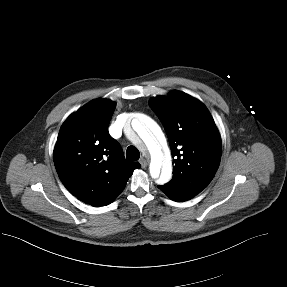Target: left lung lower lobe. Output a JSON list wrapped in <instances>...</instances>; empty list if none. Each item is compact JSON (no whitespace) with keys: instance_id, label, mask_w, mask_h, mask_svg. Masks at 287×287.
Returning a JSON list of instances; mask_svg holds the SVG:
<instances>
[{"instance_id":"1","label":"left lung lower lobe","mask_w":287,"mask_h":287,"mask_svg":"<svg viewBox=\"0 0 287 287\" xmlns=\"http://www.w3.org/2000/svg\"><path fill=\"white\" fill-rule=\"evenodd\" d=\"M158 188L174 201L183 202V201H187L190 199L188 197H185V196L179 194L175 190L167 187L166 185H159Z\"/></svg>"}]
</instances>
